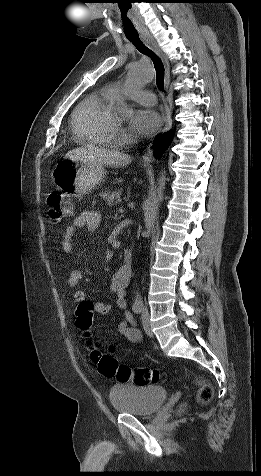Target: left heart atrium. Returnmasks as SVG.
<instances>
[{
  "instance_id": "obj_1",
  "label": "left heart atrium",
  "mask_w": 261,
  "mask_h": 476,
  "mask_svg": "<svg viewBox=\"0 0 261 476\" xmlns=\"http://www.w3.org/2000/svg\"><path fill=\"white\" fill-rule=\"evenodd\" d=\"M161 124L159 114L152 109H139L134 112L130 119L131 127L144 135L155 132Z\"/></svg>"
}]
</instances>
